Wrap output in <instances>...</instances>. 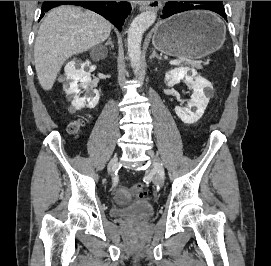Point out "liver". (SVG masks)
<instances>
[{
	"instance_id": "liver-1",
	"label": "liver",
	"mask_w": 271,
	"mask_h": 266,
	"mask_svg": "<svg viewBox=\"0 0 271 266\" xmlns=\"http://www.w3.org/2000/svg\"><path fill=\"white\" fill-rule=\"evenodd\" d=\"M111 24L80 7L60 6L44 18L35 41L34 63L41 87L50 90L65 61L104 42Z\"/></svg>"
}]
</instances>
